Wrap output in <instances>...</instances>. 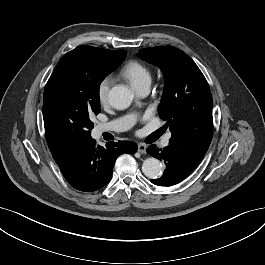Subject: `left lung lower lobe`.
Segmentation results:
<instances>
[{
    "label": "left lung lower lobe",
    "mask_w": 265,
    "mask_h": 265,
    "mask_svg": "<svg viewBox=\"0 0 265 265\" xmlns=\"http://www.w3.org/2000/svg\"><path fill=\"white\" fill-rule=\"evenodd\" d=\"M147 152L165 162L166 169L159 179L151 180L155 185L172 186L181 182L187 175H189L195 167L189 165L181 155H179L171 147L167 146L163 149L156 148L155 145L148 147Z\"/></svg>",
    "instance_id": "left-lung-lower-lobe-1"
}]
</instances>
